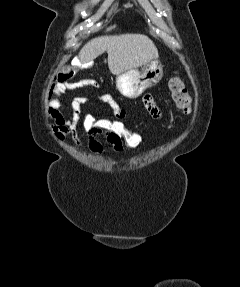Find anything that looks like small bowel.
I'll return each mask as SVG.
<instances>
[{
	"mask_svg": "<svg viewBox=\"0 0 240 287\" xmlns=\"http://www.w3.org/2000/svg\"><path fill=\"white\" fill-rule=\"evenodd\" d=\"M98 87V84L95 83ZM63 92L60 86L53 82L49 87L47 93L48 113L49 116L54 120L52 131L56 139L62 141L65 139H71L77 148L83 147V142L78 136V126L72 120L70 116L63 114L61 110V97ZM96 99L100 102L106 103L114 111L117 118L124 119L127 111L121 108L114 97L107 93H102L96 96ZM90 100L89 97L84 96L83 101L86 103ZM142 103L148 114L155 120L163 119V112L160 107L156 104L151 94H145L142 97ZM88 147L92 153L97 156L102 155L104 151V144L110 145L113 150L117 153L123 151L124 147L120 141H113L100 135L88 134Z\"/></svg>",
	"mask_w": 240,
	"mask_h": 287,
	"instance_id": "c3829d8e",
	"label": "small bowel"
}]
</instances>
